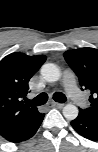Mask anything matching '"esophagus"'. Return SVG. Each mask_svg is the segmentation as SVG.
Instances as JSON below:
<instances>
[{"label":"esophagus","instance_id":"esophagus-1","mask_svg":"<svg viewBox=\"0 0 98 152\" xmlns=\"http://www.w3.org/2000/svg\"><path fill=\"white\" fill-rule=\"evenodd\" d=\"M49 105L51 107H56V108H62L64 106V104L58 103V102H54V101L49 102Z\"/></svg>","mask_w":98,"mask_h":152}]
</instances>
